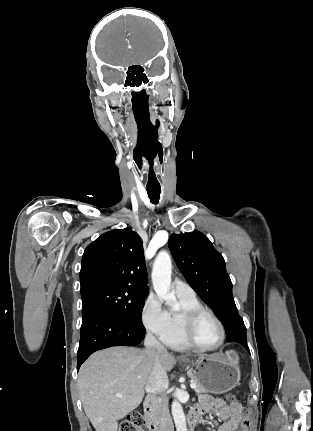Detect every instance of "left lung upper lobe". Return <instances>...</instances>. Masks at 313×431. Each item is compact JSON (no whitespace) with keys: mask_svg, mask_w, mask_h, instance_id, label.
<instances>
[{"mask_svg":"<svg viewBox=\"0 0 313 431\" xmlns=\"http://www.w3.org/2000/svg\"><path fill=\"white\" fill-rule=\"evenodd\" d=\"M169 248L189 285L225 326L228 342H246V327L232 295L225 261L201 232L172 234Z\"/></svg>","mask_w":313,"mask_h":431,"instance_id":"1","label":"left lung upper lobe"}]
</instances>
